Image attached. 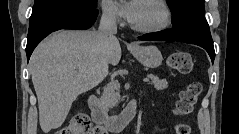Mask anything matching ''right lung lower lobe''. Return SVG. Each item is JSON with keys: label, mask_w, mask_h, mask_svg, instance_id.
I'll use <instances>...</instances> for the list:
<instances>
[{"label": "right lung lower lobe", "mask_w": 239, "mask_h": 134, "mask_svg": "<svg viewBox=\"0 0 239 134\" xmlns=\"http://www.w3.org/2000/svg\"><path fill=\"white\" fill-rule=\"evenodd\" d=\"M98 10L77 4H59L30 17L27 37V60L38 45L51 32L60 29H88L96 21Z\"/></svg>", "instance_id": "obj_1"}]
</instances>
